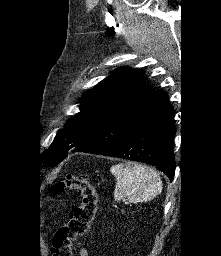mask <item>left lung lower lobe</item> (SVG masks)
<instances>
[{
    "label": "left lung lower lobe",
    "mask_w": 221,
    "mask_h": 256,
    "mask_svg": "<svg viewBox=\"0 0 221 256\" xmlns=\"http://www.w3.org/2000/svg\"><path fill=\"white\" fill-rule=\"evenodd\" d=\"M174 109L163 91L148 96L129 113L109 122L73 152H85L156 166L172 181L175 172Z\"/></svg>",
    "instance_id": "0a47b994"
}]
</instances>
